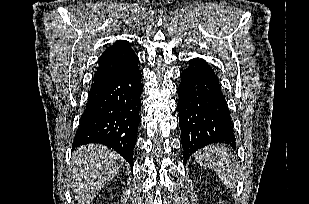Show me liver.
<instances>
[{"label":"liver","instance_id":"1","mask_svg":"<svg viewBox=\"0 0 309 204\" xmlns=\"http://www.w3.org/2000/svg\"><path fill=\"white\" fill-rule=\"evenodd\" d=\"M122 165L123 159L103 145H86L74 151L69 169L70 187L79 204H90Z\"/></svg>","mask_w":309,"mask_h":204}]
</instances>
